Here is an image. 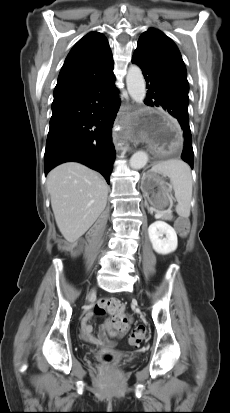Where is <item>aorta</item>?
Here are the masks:
<instances>
[{"mask_svg":"<svg viewBox=\"0 0 230 413\" xmlns=\"http://www.w3.org/2000/svg\"><path fill=\"white\" fill-rule=\"evenodd\" d=\"M127 90L131 98L137 103H143L146 96V84L141 69L137 65H131L126 76ZM148 162V155L144 151H138L130 158V167L139 170Z\"/></svg>","mask_w":230,"mask_h":413,"instance_id":"1","label":"aorta"}]
</instances>
